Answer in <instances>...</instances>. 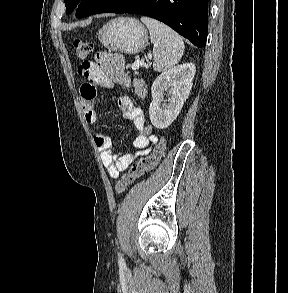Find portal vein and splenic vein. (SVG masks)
<instances>
[{"label": "portal vein and splenic vein", "mask_w": 288, "mask_h": 293, "mask_svg": "<svg viewBox=\"0 0 288 293\" xmlns=\"http://www.w3.org/2000/svg\"><path fill=\"white\" fill-rule=\"evenodd\" d=\"M149 59H151V57H149ZM140 65H144V66H145V64L142 63V62H136V63H134V64L132 65V69H133V70H138Z\"/></svg>", "instance_id": "portal-vein-and-splenic-vein-1"}]
</instances>
